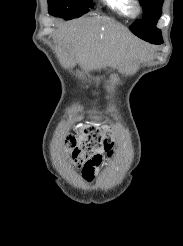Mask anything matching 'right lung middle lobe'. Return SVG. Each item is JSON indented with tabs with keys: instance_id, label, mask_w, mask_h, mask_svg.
I'll list each match as a JSON object with an SVG mask.
<instances>
[{
	"instance_id": "obj_1",
	"label": "right lung middle lobe",
	"mask_w": 183,
	"mask_h": 246,
	"mask_svg": "<svg viewBox=\"0 0 183 246\" xmlns=\"http://www.w3.org/2000/svg\"><path fill=\"white\" fill-rule=\"evenodd\" d=\"M93 7L92 0H48L49 13L66 20L80 17Z\"/></svg>"
}]
</instances>
